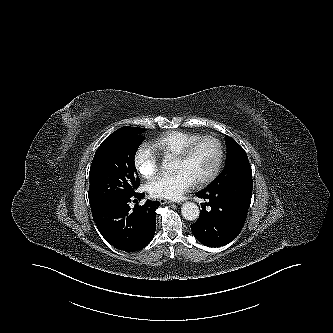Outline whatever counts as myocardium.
<instances>
[{
  "label": "myocardium",
  "mask_w": 333,
  "mask_h": 333,
  "mask_svg": "<svg viewBox=\"0 0 333 333\" xmlns=\"http://www.w3.org/2000/svg\"><path fill=\"white\" fill-rule=\"evenodd\" d=\"M205 140H211L216 144L218 149V157L211 173L206 178L196 182L198 186H206L212 183L218 177L223 165L224 155H225L222 142L214 135H203L188 143L185 146V148L182 150V152L174 158L175 160L178 161L187 160L192 155L196 147Z\"/></svg>",
  "instance_id": "obj_1"
}]
</instances>
